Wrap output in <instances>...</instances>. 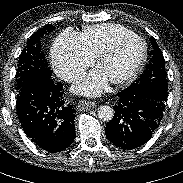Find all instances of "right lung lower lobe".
<instances>
[{
    "label": "right lung lower lobe",
    "mask_w": 183,
    "mask_h": 183,
    "mask_svg": "<svg viewBox=\"0 0 183 183\" xmlns=\"http://www.w3.org/2000/svg\"><path fill=\"white\" fill-rule=\"evenodd\" d=\"M61 82L52 78L24 85L16 109L25 134L39 148L55 153L75 139V109L64 100Z\"/></svg>",
    "instance_id": "1"
}]
</instances>
